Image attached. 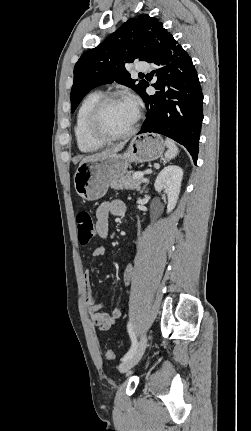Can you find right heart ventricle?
Segmentation results:
<instances>
[{
    "label": "right heart ventricle",
    "mask_w": 251,
    "mask_h": 431,
    "mask_svg": "<svg viewBox=\"0 0 251 431\" xmlns=\"http://www.w3.org/2000/svg\"><path fill=\"white\" fill-rule=\"evenodd\" d=\"M102 97L101 92L88 94L80 103L75 119L74 136L78 149L90 153L100 149L104 143L92 139L87 132V118L95 103Z\"/></svg>",
    "instance_id": "e07e8e85"
}]
</instances>
